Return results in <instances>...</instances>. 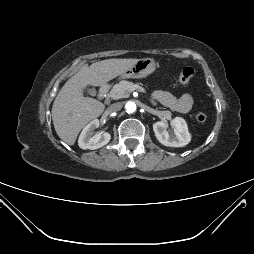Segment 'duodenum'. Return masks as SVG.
I'll return each mask as SVG.
<instances>
[{"mask_svg":"<svg viewBox=\"0 0 254 254\" xmlns=\"http://www.w3.org/2000/svg\"><path fill=\"white\" fill-rule=\"evenodd\" d=\"M106 92H107V87L106 86L100 87V89H99V97L103 98L105 96Z\"/></svg>","mask_w":254,"mask_h":254,"instance_id":"obj_1","label":"duodenum"}]
</instances>
